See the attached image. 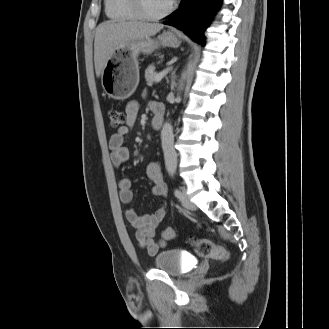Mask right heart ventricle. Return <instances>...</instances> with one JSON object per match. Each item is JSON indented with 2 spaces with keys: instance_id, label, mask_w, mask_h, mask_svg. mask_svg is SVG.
Instances as JSON below:
<instances>
[{
  "instance_id": "obj_1",
  "label": "right heart ventricle",
  "mask_w": 329,
  "mask_h": 329,
  "mask_svg": "<svg viewBox=\"0 0 329 329\" xmlns=\"http://www.w3.org/2000/svg\"><path fill=\"white\" fill-rule=\"evenodd\" d=\"M105 11L108 17L114 20H136L137 14L129 0H105Z\"/></svg>"
}]
</instances>
